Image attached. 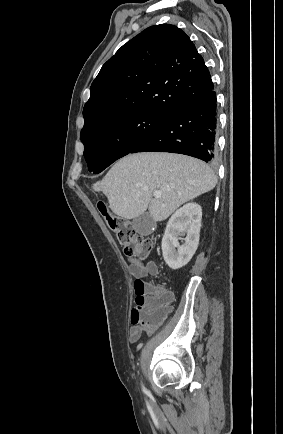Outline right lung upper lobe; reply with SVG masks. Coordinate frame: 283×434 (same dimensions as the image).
Here are the masks:
<instances>
[{
	"instance_id": "cb5924a9",
	"label": "right lung upper lobe",
	"mask_w": 283,
	"mask_h": 434,
	"mask_svg": "<svg viewBox=\"0 0 283 434\" xmlns=\"http://www.w3.org/2000/svg\"><path fill=\"white\" fill-rule=\"evenodd\" d=\"M213 88L190 38L174 25L151 26L102 66L83 109L82 130L128 112L172 115Z\"/></svg>"
}]
</instances>
